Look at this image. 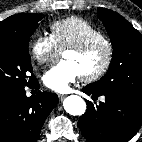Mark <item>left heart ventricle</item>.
Wrapping results in <instances>:
<instances>
[{
	"label": "left heart ventricle",
	"instance_id": "b2bd125f",
	"mask_svg": "<svg viewBox=\"0 0 142 142\" xmlns=\"http://www.w3.org/2000/svg\"><path fill=\"white\" fill-rule=\"evenodd\" d=\"M106 56L104 47L99 46L87 53L79 54L74 51H65L63 58L72 61L80 71L81 75H86L98 70Z\"/></svg>",
	"mask_w": 142,
	"mask_h": 142
}]
</instances>
